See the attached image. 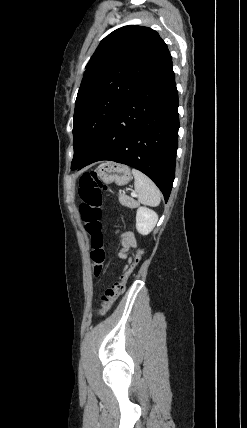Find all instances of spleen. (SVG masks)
I'll list each match as a JSON object with an SVG mask.
<instances>
[{"label": "spleen", "instance_id": "spleen-1", "mask_svg": "<svg viewBox=\"0 0 247 428\" xmlns=\"http://www.w3.org/2000/svg\"><path fill=\"white\" fill-rule=\"evenodd\" d=\"M135 190L138 201L142 204L156 207L161 201V193L154 182L142 172L133 169Z\"/></svg>", "mask_w": 247, "mask_h": 428}]
</instances>
